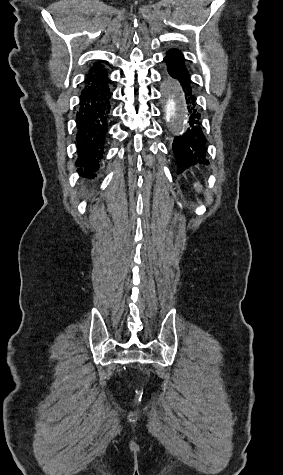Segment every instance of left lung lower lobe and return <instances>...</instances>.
Returning a JSON list of instances; mask_svg holds the SVG:
<instances>
[{
	"label": "left lung lower lobe",
	"instance_id": "0a47b994",
	"mask_svg": "<svg viewBox=\"0 0 283 475\" xmlns=\"http://www.w3.org/2000/svg\"><path fill=\"white\" fill-rule=\"evenodd\" d=\"M164 61L167 63L169 74L176 78L183 88L185 95L189 127L187 131L179 137L174 138L173 152L178 164V173L191 165L200 163L208 164L207 139L201 124V114L195 102L193 83L184 65L183 55L175 54L172 50L166 53Z\"/></svg>",
	"mask_w": 283,
	"mask_h": 475
}]
</instances>
